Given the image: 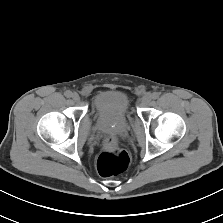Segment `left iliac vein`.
Instances as JSON below:
<instances>
[{
    "label": "left iliac vein",
    "mask_w": 223,
    "mask_h": 223,
    "mask_svg": "<svg viewBox=\"0 0 223 223\" xmlns=\"http://www.w3.org/2000/svg\"><path fill=\"white\" fill-rule=\"evenodd\" d=\"M151 99H152V94L147 93V94H145V95L141 98V104H142L143 106H146V105L149 104V102L151 101Z\"/></svg>",
    "instance_id": "left-iliac-vein-1"
}]
</instances>
